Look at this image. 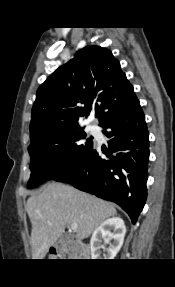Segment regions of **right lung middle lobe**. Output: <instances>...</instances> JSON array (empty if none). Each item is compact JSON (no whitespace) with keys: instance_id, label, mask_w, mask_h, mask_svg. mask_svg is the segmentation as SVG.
<instances>
[{"instance_id":"1","label":"right lung middle lobe","mask_w":175,"mask_h":287,"mask_svg":"<svg viewBox=\"0 0 175 287\" xmlns=\"http://www.w3.org/2000/svg\"><path fill=\"white\" fill-rule=\"evenodd\" d=\"M92 149V137L88 138L80 127L31 143L28 148L31 177L27 187L34 188L67 174L80 165Z\"/></svg>"}]
</instances>
